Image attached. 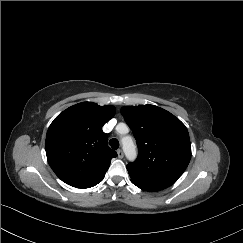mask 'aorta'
Here are the masks:
<instances>
[{"label":"aorta","instance_id":"aorta-1","mask_svg":"<svg viewBox=\"0 0 243 243\" xmlns=\"http://www.w3.org/2000/svg\"><path fill=\"white\" fill-rule=\"evenodd\" d=\"M123 151L128 160L133 161L137 156L136 145L131 136H124L121 139Z\"/></svg>","mask_w":243,"mask_h":243}]
</instances>
